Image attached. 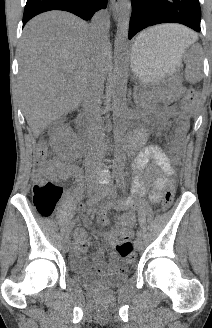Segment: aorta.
Masks as SVG:
<instances>
[{
  "label": "aorta",
  "mask_w": 212,
  "mask_h": 328,
  "mask_svg": "<svg viewBox=\"0 0 212 328\" xmlns=\"http://www.w3.org/2000/svg\"><path fill=\"white\" fill-rule=\"evenodd\" d=\"M131 4L128 0H123L117 33L114 42V67L112 78V111L114 122V138L119 147L125 142L126 137V90L128 77V34H129V16ZM115 164L120 166L121 155L118 151L115 155ZM114 178L123 176L122 167H113Z\"/></svg>",
  "instance_id": "762f6f07"
}]
</instances>
